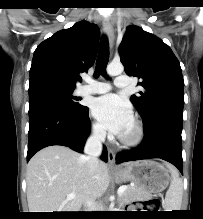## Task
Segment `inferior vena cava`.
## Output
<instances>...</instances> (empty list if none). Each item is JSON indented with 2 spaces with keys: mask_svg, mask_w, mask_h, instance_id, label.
Returning a JSON list of instances; mask_svg holds the SVG:
<instances>
[{
  "mask_svg": "<svg viewBox=\"0 0 203 219\" xmlns=\"http://www.w3.org/2000/svg\"><path fill=\"white\" fill-rule=\"evenodd\" d=\"M106 137V131L103 127H96L86 141L84 153L90 174L94 175L98 168V157L102 154L103 142Z\"/></svg>",
  "mask_w": 203,
  "mask_h": 219,
  "instance_id": "obj_1",
  "label": "inferior vena cava"
}]
</instances>
